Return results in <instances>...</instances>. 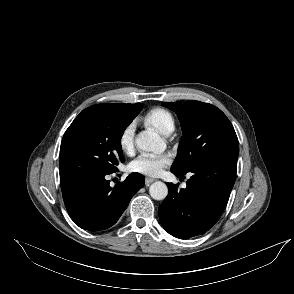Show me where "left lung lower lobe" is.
<instances>
[{
  "label": "left lung lower lobe",
  "mask_w": 294,
  "mask_h": 294,
  "mask_svg": "<svg viewBox=\"0 0 294 294\" xmlns=\"http://www.w3.org/2000/svg\"><path fill=\"white\" fill-rule=\"evenodd\" d=\"M238 153V147H229L209 157L191 171L185 189L167 183L169 193L158 213L168 233L187 239L207 232L218 221L235 183Z\"/></svg>",
  "instance_id": "obj_1"
}]
</instances>
